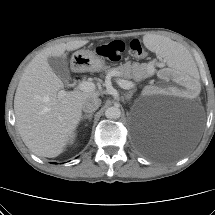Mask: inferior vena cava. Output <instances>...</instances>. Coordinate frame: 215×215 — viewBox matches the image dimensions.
I'll list each match as a JSON object with an SVG mask.
<instances>
[{
  "label": "inferior vena cava",
  "instance_id": "1",
  "mask_svg": "<svg viewBox=\"0 0 215 215\" xmlns=\"http://www.w3.org/2000/svg\"><path fill=\"white\" fill-rule=\"evenodd\" d=\"M100 104L101 100L98 97H92L83 103L82 110L86 113H92L99 108Z\"/></svg>",
  "mask_w": 215,
  "mask_h": 215
}]
</instances>
